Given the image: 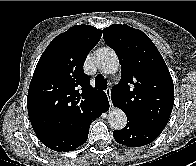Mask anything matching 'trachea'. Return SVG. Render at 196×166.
<instances>
[{"label":"trachea","instance_id":"obj_1","mask_svg":"<svg viewBox=\"0 0 196 166\" xmlns=\"http://www.w3.org/2000/svg\"><path fill=\"white\" fill-rule=\"evenodd\" d=\"M107 86V80L102 75H97L95 78V87L99 90H105Z\"/></svg>","mask_w":196,"mask_h":166}]
</instances>
